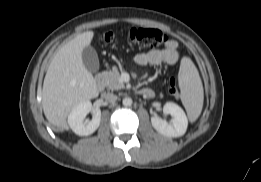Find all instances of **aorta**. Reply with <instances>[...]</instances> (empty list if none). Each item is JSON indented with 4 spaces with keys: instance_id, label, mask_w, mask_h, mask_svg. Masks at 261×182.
<instances>
[{
    "instance_id": "aorta-1",
    "label": "aorta",
    "mask_w": 261,
    "mask_h": 182,
    "mask_svg": "<svg viewBox=\"0 0 261 182\" xmlns=\"http://www.w3.org/2000/svg\"><path fill=\"white\" fill-rule=\"evenodd\" d=\"M132 99L130 97H125L122 101L124 106H131L132 105Z\"/></svg>"
}]
</instances>
